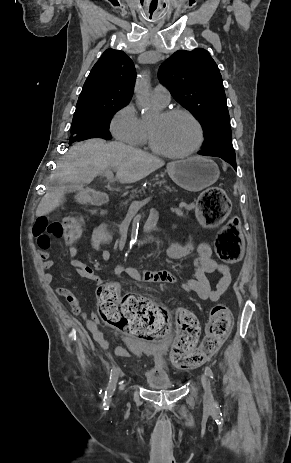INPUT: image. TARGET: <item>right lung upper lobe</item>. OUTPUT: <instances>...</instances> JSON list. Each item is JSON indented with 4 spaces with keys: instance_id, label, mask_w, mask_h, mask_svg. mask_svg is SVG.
Segmentation results:
<instances>
[{
    "instance_id": "right-lung-upper-lobe-1",
    "label": "right lung upper lobe",
    "mask_w": 291,
    "mask_h": 463,
    "mask_svg": "<svg viewBox=\"0 0 291 463\" xmlns=\"http://www.w3.org/2000/svg\"><path fill=\"white\" fill-rule=\"evenodd\" d=\"M135 77L132 60L123 51L107 49L90 71L74 115L95 111L107 101L128 103Z\"/></svg>"
}]
</instances>
